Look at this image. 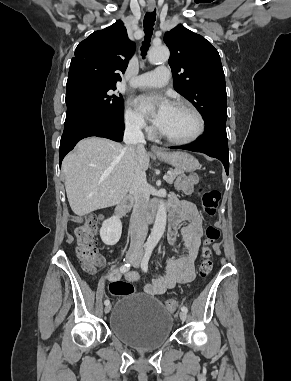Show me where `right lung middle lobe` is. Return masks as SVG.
I'll use <instances>...</instances> for the list:
<instances>
[{
    "instance_id": "right-lung-middle-lobe-1",
    "label": "right lung middle lobe",
    "mask_w": 291,
    "mask_h": 381,
    "mask_svg": "<svg viewBox=\"0 0 291 381\" xmlns=\"http://www.w3.org/2000/svg\"><path fill=\"white\" fill-rule=\"evenodd\" d=\"M66 103L85 105L96 118L123 115V99L114 94L115 84L99 83L85 78L67 80Z\"/></svg>"
}]
</instances>
